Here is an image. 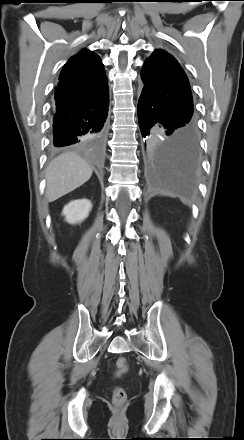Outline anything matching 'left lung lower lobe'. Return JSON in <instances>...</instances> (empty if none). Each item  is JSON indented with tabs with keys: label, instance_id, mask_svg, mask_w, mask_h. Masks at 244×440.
<instances>
[{
	"label": "left lung lower lobe",
	"instance_id": "obj_1",
	"mask_svg": "<svg viewBox=\"0 0 244 440\" xmlns=\"http://www.w3.org/2000/svg\"><path fill=\"white\" fill-rule=\"evenodd\" d=\"M137 112L149 171L173 177L180 191L190 193L200 165L199 135L193 118L146 87Z\"/></svg>",
	"mask_w": 244,
	"mask_h": 440
}]
</instances>
